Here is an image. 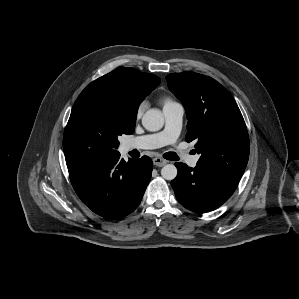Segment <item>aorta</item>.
I'll use <instances>...</instances> for the list:
<instances>
[{"instance_id":"obj_1","label":"aorta","mask_w":299,"mask_h":299,"mask_svg":"<svg viewBox=\"0 0 299 299\" xmlns=\"http://www.w3.org/2000/svg\"><path fill=\"white\" fill-rule=\"evenodd\" d=\"M142 125L148 131H158L164 125V116L158 109H149L142 117ZM161 176L166 180H173L177 176V168L173 164H167L161 169Z\"/></svg>"}]
</instances>
